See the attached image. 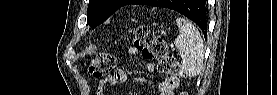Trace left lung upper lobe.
I'll use <instances>...</instances> for the list:
<instances>
[{"mask_svg": "<svg viewBox=\"0 0 277 95\" xmlns=\"http://www.w3.org/2000/svg\"><path fill=\"white\" fill-rule=\"evenodd\" d=\"M133 0H89L87 12V24L93 28L107 20L115 11L122 6L128 5ZM176 0L167 4L158 3L157 7H166L174 4Z\"/></svg>", "mask_w": 277, "mask_h": 95, "instance_id": "1", "label": "left lung upper lobe"}]
</instances>
